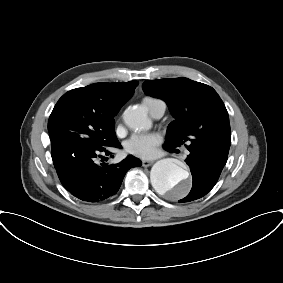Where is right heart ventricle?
<instances>
[{
    "label": "right heart ventricle",
    "mask_w": 283,
    "mask_h": 283,
    "mask_svg": "<svg viewBox=\"0 0 283 283\" xmlns=\"http://www.w3.org/2000/svg\"><path fill=\"white\" fill-rule=\"evenodd\" d=\"M158 101V99H154L151 97H145L143 99V103L149 108L151 106V104H153L154 102Z\"/></svg>",
    "instance_id": "obj_1"
}]
</instances>
